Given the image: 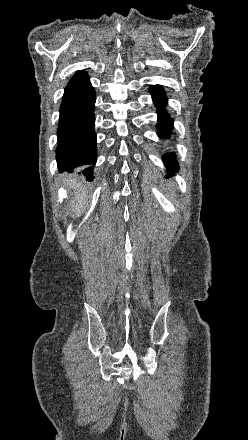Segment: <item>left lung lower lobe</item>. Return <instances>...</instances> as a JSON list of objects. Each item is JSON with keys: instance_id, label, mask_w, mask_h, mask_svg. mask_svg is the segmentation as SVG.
<instances>
[{"instance_id": "left-lung-lower-lobe-1", "label": "left lung lower lobe", "mask_w": 248, "mask_h": 440, "mask_svg": "<svg viewBox=\"0 0 248 440\" xmlns=\"http://www.w3.org/2000/svg\"><path fill=\"white\" fill-rule=\"evenodd\" d=\"M150 93L152 95L153 101L157 106L158 111V121L157 124L160 138H168L173 129V119L169 117V115L165 112L164 107L167 104V97L165 96L164 89L160 85H151ZM163 160L165 162L166 167L169 170L177 171L178 162L175 159V155L173 153L163 155Z\"/></svg>"}]
</instances>
